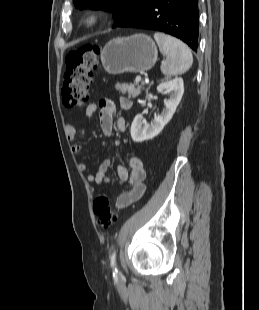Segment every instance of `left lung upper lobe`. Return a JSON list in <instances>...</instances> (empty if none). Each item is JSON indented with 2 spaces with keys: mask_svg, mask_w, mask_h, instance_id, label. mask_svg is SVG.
<instances>
[{
  "mask_svg": "<svg viewBox=\"0 0 259 310\" xmlns=\"http://www.w3.org/2000/svg\"><path fill=\"white\" fill-rule=\"evenodd\" d=\"M152 0H73L78 9H102L113 13V27L129 18Z\"/></svg>",
  "mask_w": 259,
  "mask_h": 310,
  "instance_id": "5c2ea615",
  "label": "left lung upper lobe"
}]
</instances>
